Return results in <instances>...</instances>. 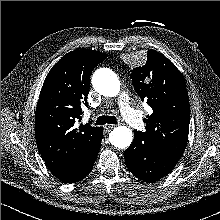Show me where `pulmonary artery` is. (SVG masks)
I'll list each match as a JSON object with an SVG mask.
<instances>
[{
  "mask_svg": "<svg viewBox=\"0 0 220 220\" xmlns=\"http://www.w3.org/2000/svg\"><path fill=\"white\" fill-rule=\"evenodd\" d=\"M118 104L122 116L133 128L139 130L144 127V121L140 112L131 105L129 96L126 92L121 93Z\"/></svg>",
  "mask_w": 220,
  "mask_h": 220,
  "instance_id": "pulmonary-artery-1",
  "label": "pulmonary artery"
}]
</instances>
